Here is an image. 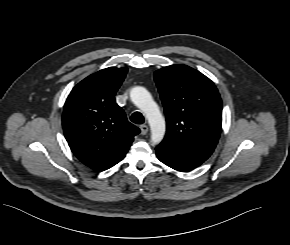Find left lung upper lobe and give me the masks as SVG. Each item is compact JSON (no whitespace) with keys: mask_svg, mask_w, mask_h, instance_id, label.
Wrapping results in <instances>:
<instances>
[{"mask_svg":"<svg viewBox=\"0 0 290 245\" xmlns=\"http://www.w3.org/2000/svg\"><path fill=\"white\" fill-rule=\"evenodd\" d=\"M164 111L166 136L160 145L204 162L218 142L222 101L214 83L186 65H171L154 73Z\"/></svg>","mask_w":290,"mask_h":245,"instance_id":"obj_1","label":"left lung upper lobe"}]
</instances>
